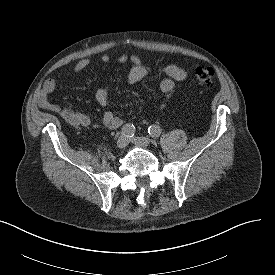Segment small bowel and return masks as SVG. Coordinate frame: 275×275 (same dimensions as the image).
I'll return each instance as SVG.
<instances>
[{
    "label": "small bowel",
    "mask_w": 275,
    "mask_h": 275,
    "mask_svg": "<svg viewBox=\"0 0 275 275\" xmlns=\"http://www.w3.org/2000/svg\"><path fill=\"white\" fill-rule=\"evenodd\" d=\"M101 60L107 63L110 61V56L108 54H103ZM117 60L120 63L129 61L132 64L127 75V82L131 85L141 81L150 70L149 66L145 65L137 55L129 57L123 54L118 56ZM90 63L91 60L89 58H82L65 73V76L68 77L85 70ZM163 72L165 77L160 82V89L165 94H169L174 90L176 82H183L187 79V72L177 65H167L164 67ZM56 85V80L53 78H49L44 82L43 88L38 96L39 105L58 114L64 121L73 126H88L91 122L88 114L70 108H63L49 101L48 95L55 90ZM95 98L101 106L105 107L109 100V89L107 87L99 88L95 93ZM103 123L108 129L115 130L122 125L123 121L112 111L107 110L103 114Z\"/></svg>",
    "instance_id": "small-bowel-1"
}]
</instances>
